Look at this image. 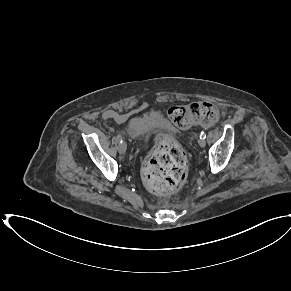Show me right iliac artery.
I'll return each instance as SVG.
<instances>
[{"instance_id":"right-iliac-artery-1","label":"right iliac artery","mask_w":291,"mask_h":291,"mask_svg":"<svg viewBox=\"0 0 291 291\" xmlns=\"http://www.w3.org/2000/svg\"><path fill=\"white\" fill-rule=\"evenodd\" d=\"M116 139H117L118 142H122V136L120 134L117 135Z\"/></svg>"}]
</instances>
